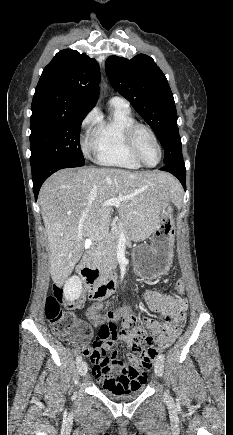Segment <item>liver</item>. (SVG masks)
Here are the masks:
<instances>
[{
    "mask_svg": "<svg viewBox=\"0 0 233 435\" xmlns=\"http://www.w3.org/2000/svg\"><path fill=\"white\" fill-rule=\"evenodd\" d=\"M183 190L166 172H130L114 168L62 169L42 185L38 202L49 246L50 273L62 282L84 252L85 239L108 235L112 207L101 204L122 198L117 210L129 238L140 242L158 227L163 206L178 203Z\"/></svg>",
    "mask_w": 233,
    "mask_h": 435,
    "instance_id": "6515ba94",
    "label": "liver"
}]
</instances>
